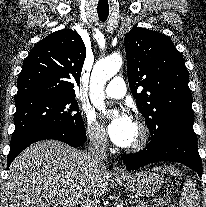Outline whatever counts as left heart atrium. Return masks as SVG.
I'll return each instance as SVG.
<instances>
[{"instance_id":"39dd6f15","label":"left heart atrium","mask_w":206,"mask_h":207,"mask_svg":"<svg viewBox=\"0 0 206 207\" xmlns=\"http://www.w3.org/2000/svg\"><path fill=\"white\" fill-rule=\"evenodd\" d=\"M135 123L127 113L113 118L108 124V134L116 145L128 147L133 141Z\"/></svg>"}]
</instances>
